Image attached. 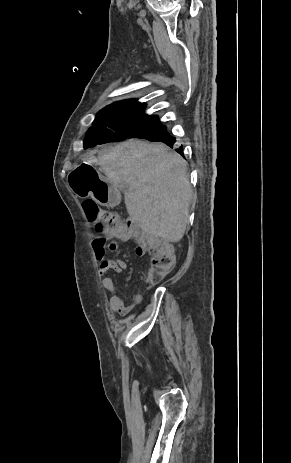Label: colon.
I'll use <instances>...</instances> for the list:
<instances>
[{"label":"colon","mask_w":291,"mask_h":463,"mask_svg":"<svg viewBox=\"0 0 291 463\" xmlns=\"http://www.w3.org/2000/svg\"><path fill=\"white\" fill-rule=\"evenodd\" d=\"M82 206L98 238L110 236L130 239L144 253H149L152 280L163 277L173 269L175 265L173 248L149 235L134 220L123 219L114 212L104 210L90 198L85 199Z\"/></svg>","instance_id":"obj_1"}]
</instances>
